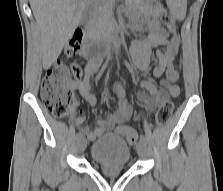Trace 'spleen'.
<instances>
[{"instance_id": "1", "label": "spleen", "mask_w": 223, "mask_h": 191, "mask_svg": "<svg viewBox=\"0 0 223 191\" xmlns=\"http://www.w3.org/2000/svg\"><path fill=\"white\" fill-rule=\"evenodd\" d=\"M171 14L178 20H183L186 16L187 0H167Z\"/></svg>"}]
</instances>
